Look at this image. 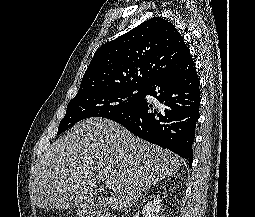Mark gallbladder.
I'll use <instances>...</instances> for the list:
<instances>
[{"label": "gallbladder", "mask_w": 255, "mask_h": 217, "mask_svg": "<svg viewBox=\"0 0 255 217\" xmlns=\"http://www.w3.org/2000/svg\"><path fill=\"white\" fill-rule=\"evenodd\" d=\"M101 202L100 198H91L85 202H82L76 209L78 217H84V215H90L93 213L95 208Z\"/></svg>", "instance_id": "1"}]
</instances>
